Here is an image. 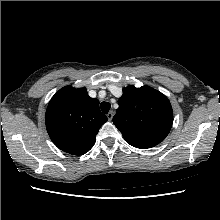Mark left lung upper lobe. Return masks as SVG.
Wrapping results in <instances>:
<instances>
[{"instance_id":"left-lung-upper-lobe-1","label":"left lung upper lobe","mask_w":220,"mask_h":220,"mask_svg":"<svg viewBox=\"0 0 220 220\" xmlns=\"http://www.w3.org/2000/svg\"><path fill=\"white\" fill-rule=\"evenodd\" d=\"M118 104L113 123L128 144L140 149L151 148L170 132L173 111L161 92L149 86H128L123 89Z\"/></svg>"}]
</instances>
